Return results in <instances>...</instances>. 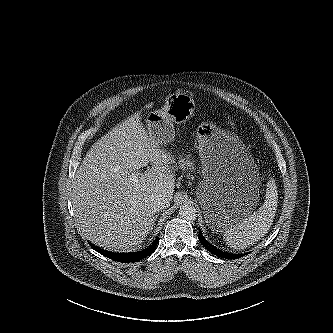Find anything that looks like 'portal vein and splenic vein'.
Wrapping results in <instances>:
<instances>
[{
  "instance_id": "obj_1",
  "label": "portal vein and splenic vein",
  "mask_w": 333,
  "mask_h": 333,
  "mask_svg": "<svg viewBox=\"0 0 333 333\" xmlns=\"http://www.w3.org/2000/svg\"><path fill=\"white\" fill-rule=\"evenodd\" d=\"M130 180L136 181L137 180V174H132L130 177Z\"/></svg>"
}]
</instances>
